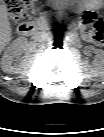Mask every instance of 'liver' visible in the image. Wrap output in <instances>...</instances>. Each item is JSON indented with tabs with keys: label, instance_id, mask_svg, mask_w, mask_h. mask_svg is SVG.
<instances>
[{
	"label": "liver",
	"instance_id": "liver-1",
	"mask_svg": "<svg viewBox=\"0 0 104 137\" xmlns=\"http://www.w3.org/2000/svg\"><path fill=\"white\" fill-rule=\"evenodd\" d=\"M11 40V26L7 17V8L1 5L0 8V44L1 48Z\"/></svg>",
	"mask_w": 104,
	"mask_h": 137
}]
</instances>
